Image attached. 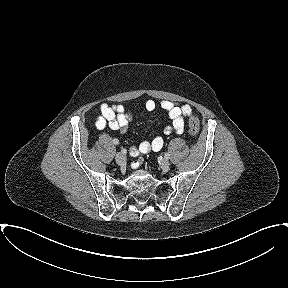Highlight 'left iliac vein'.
Segmentation results:
<instances>
[{"label": "left iliac vein", "mask_w": 288, "mask_h": 288, "mask_svg": "<svg viewBox=\"0 0 288 288\" xmlns=\"http://www.w3.org/2000/svg\"><path fill=\"white\" fill-rule=\"evenodd\" d=\"M169 165H170V162H169V160L168 159H163L162 161H161V164H160V166H161V168L163 169V170H167L168 168H169Z\"/></svg>", "instance_id": "1"}]
</instances>
